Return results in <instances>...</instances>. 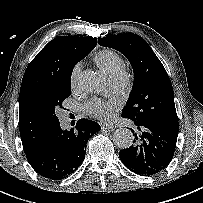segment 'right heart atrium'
Returning a JSON list of instances; mask_svg holds the SVG:
<instances>
[{"instance_id":"d8ad5b80","label":"right heart atrium","mask_w":203,"mask_h":203,"mask_svg":"<svg viewBox=\"0 0 203 203\" xmlns=\"http://www.w3.org/2000/svg\"><path fill=\"white\" fill-rule=\"evenodd\" d=\"M80 72H81V64L77 63L73 66L70 73V87L72 89H75L78 85Z\"/></svg>"}]
</instances>
